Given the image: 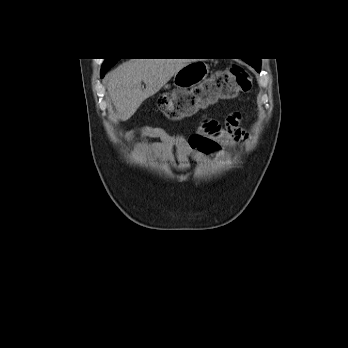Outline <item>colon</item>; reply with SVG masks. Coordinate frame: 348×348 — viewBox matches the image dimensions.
Returning <instances> with one entry per match:
<instances>
[{"mask_svg": "<svg viewBox=\"0 0 348 348\" xmlns=\"http://www.w3.org/2000/svg\"><path fill=\"white\" fill-rule=\"evenodd\" d=\"M252 85L253 80L249 72L242 66L233 64L217 72L205 88L214 98L226 99L249 92ZM195 108L196 105L186 93H168L158 100V109L168 119L181 118ZM210 122L218 126L216 122Z\"/></svg>", "mask_w": 348, "mask_h": 348, "instance_id": "5ec220e1", "label": "colon"}]
</instances>
